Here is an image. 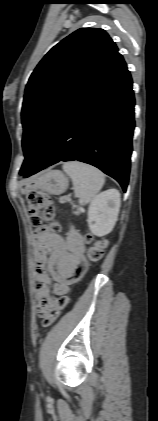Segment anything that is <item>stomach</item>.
<instances>
[{
  "label": "stomach",
  "mask_w": 158,
  "mask_h": 421,
  "mask_svg": "<svg viewBox=\"0 0 158 421\" xmlns=\"http://www.w3.org/2000/svg\"><path fill=\"white\" fill-rule=\"evenodd\" d=\"M68 185V178L61 171L48 170L32 180L26 190H42L49 194L59 195L67 190Z\"/></svg>",
  "instance_id": "stomach-1"
}]
</instances>
